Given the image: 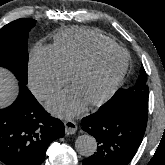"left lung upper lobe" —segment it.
Here are the masks:
<instances>
[{"mask_svg": "<svg viewBox=\"0 0 165 165\" xmlns=\"http://www.w3.org/2000/svg\"><path fill=\"white\" fill-rule=\"evenodd\" d=\"M148 85L146 72L142 66L139 78L129 90L120 89L101 111L136 112L148 115Z\"/></svg>", "mask_w": 165, "mask_h": 165, "instance_id": "1", "label": "left lung upper lobe"}]
</instances>
